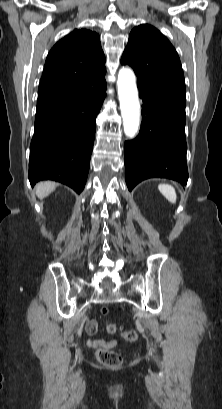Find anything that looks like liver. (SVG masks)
<instances>
[{
	"mask_svg": "<svg viewBox=\"0 0 222 409\" xmlns=\"http://www.w3.org/2000/svg\"><path fill=\"white\" fill-rule=\"evenodd\" d=\"M55 187L56 185L53 182H41L35 188L36 195L40 199L45 198L55 190Z\"/></svg>",
	"mask_w": 222,
	"mask_h": 409,
	"instance_id": "obj_1",
	"label": "liver"
}]
</instances>
